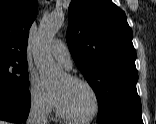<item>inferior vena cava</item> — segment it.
<instances>
[{
	"label": "inferior vena cava",
	"instance_id": "obj_1",
	"mask_svg": "<svg viewBox=\"0 0 156 124\" xmlns=\"http://www.w3.org/2000/svg\"><path fill=\"white\" fill-rule=\"evenodd\" d=\"M26 124H48L45 107L42 101L33 99Z\"/></svg>",
	"mask_w": 156,
	"mask_h": 124
}]
</instances>
